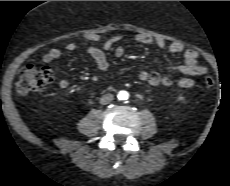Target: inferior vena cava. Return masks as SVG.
<instances>
[{"label": "inferior vena cava", "mask_w": 230, "mask_h": 186, "mask_svg": "<svg viewBox=\"0 0 230 186\" xmlns=\"http://www.w3.org/2000/svg\"><path fill=\"white\" fill-rule=\"evenodd\" d=\"M114 99L112 94H105L100 98V103L103 105L109 104Z\"/></svg>", "instance_id": "1"}]
</instances>
